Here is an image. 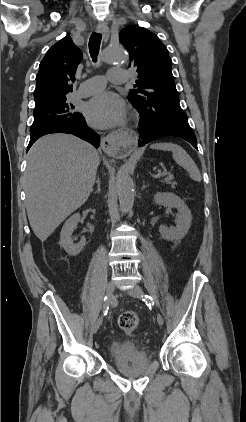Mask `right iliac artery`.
I'll list each match as a JSON object with an SVG mask.
<instances>
[{
	"label": "right iliac artery",
	"mask_w": 246,
	"mask_h": 422,
	"mask_svg": "<svg viewBox=\"0 0 246 422\" xmlns=\"http://www.w3.org/2000/svg\"><path fill=\"white\" fill-rule=\"evenodd\" d=\"M104 301H105V303H106V301H107V296L104 298ZM108 309H109V306L104 305V315H106V314H107Z\"/></svg>",
	"instance_id": "82829eb1"
}]
</instances>
